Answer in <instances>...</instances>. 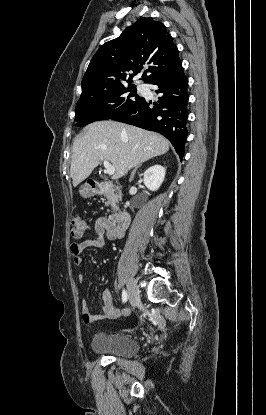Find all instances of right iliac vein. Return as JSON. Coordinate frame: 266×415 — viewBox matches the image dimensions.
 <instances>
[{"instance_id": "obj_1", "label": "right iliac vein", "mask_w": 266, "mask_h": 415, "mask_svg": "<svg viewBox=\"0 0 266 415\" xmlns=\"http://www.w3.org/2000/svg\"><path fill=\"white\" fill-rule=\"evenodd\" d=\"M127 287L129 292L130 303L134 307L139 303L140 300L139 289L133 279H129Z\"/></svg>"}]
</instances>
